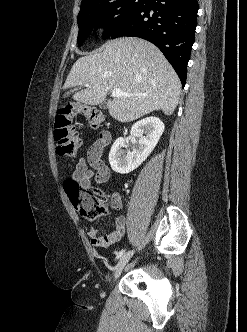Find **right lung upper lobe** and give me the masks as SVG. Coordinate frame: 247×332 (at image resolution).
<instances>
[{"mask_svg":"<svg viewBox=\"0 0 247 332\" xmlns=\"http://www.w3.org/2000/svg\"><path fill=\"white\" fill-rule=\"evenodd\" d=\"M100 1L101 0H82L81 9L80 10L85 9V8H87V7L95 4L97 2H100Z\"/></svg>","mask_w":247,"mask_h":332,"instance_id":"1","label":"right lung upper lobe"}]
</instances>
